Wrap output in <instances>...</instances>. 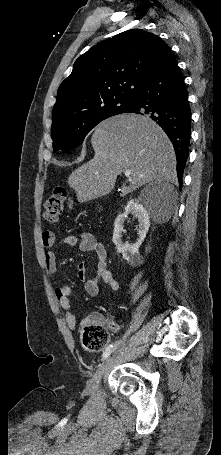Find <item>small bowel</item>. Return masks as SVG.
I'll use <instances>...</instances> for the list:
<instances>
[{"label":"small bowel","instance_id":"obj_1","mask_svg":"<svg viewBox=\"0 0 221 455\" xmlns=\"http://www.w3.org/2000/svg\"><path fill=\"white\" fill-rule=\"evenodd\" d=\"M42 242L46 248L45 266L49 276H54L58 272L57 255L54 246L57 242L68 246H78L81 251H94L96 254V266L92 275L87 276L83 263L77 265L78 277L84 283L85 291L95 296L98 294L102 283L108 285L111 290L118 291L120 285L113 277L107 265V250L105 246L99 242L91 233L82 232L79 235H69L57 240L55 234L47 230L42 235ZM72 289L68 285H62L55 288V296L57 302L64 312V318L67 326L74 330L77 327V320L71 310L70 295ZM95 318L101 320L100 316H90L84 319ZM83 321V322H84Z\"/></svg>","mask_w":221,"mask_h":455}]
</instances>
